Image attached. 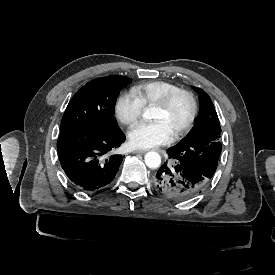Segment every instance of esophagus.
<instances>
[{"instance_id":"1","label":"esophagus","mask_w":275,"mask_h":275,"mask_svg":"<svg viewBox=\"0 0 275 275\" xmlns=\"http://www.w3.org/2000/svg\"><path fill=\"white\" fill-rule=\"evenodd\" d=\"M145 152H146L145 150H134L132 153L133 154H143Z\"/></svg>"}]
</instances>
